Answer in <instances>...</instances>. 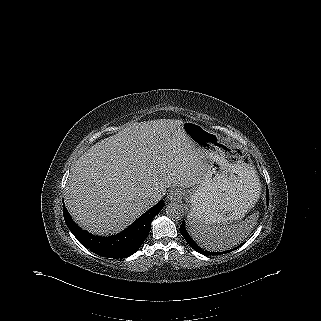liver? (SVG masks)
I'll use <instances>...</instances> for the list:
<instances>
[{
    "mask_svg": "<svg viewBox=\"0 0 321 321\" xmlns=\"http://www.w3.org/2000/svg\"><path fill=\"white\" fill-rule=\"evenodd\" d=\"M183 121L136 122L91 146L70 173L65 204L93 234L117 233L161 199L169 187L195 186L206 171L204 153L182 130ZM177 147V153L167 152Z\"/></svg>",
    "mask_w": 321,
    "mask_h": 321,
    "instance_id": "1",
    "label": "liver"
}]
</instances>
